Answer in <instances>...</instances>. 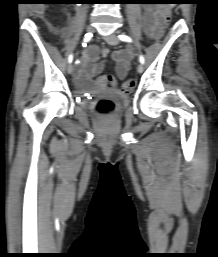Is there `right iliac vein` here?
<instances>
[{
	"mask_svg": "<svg viewBox=\"0 0 218 257\" xmlns=\"http://www.w3.org/2000/svg\"><path fill=\"white\" fill-rule=\"evenodd\" d=\"M86 30H87V32L91 33L93 31L92 25H88ZM67 70H68L69 74H72L73 70H74V66L70 63Z\"/></svg>",
	"mask_w": 218,
	"mask_h": 257,
	"instance_id": "1",
	"label": "right iliac vein"
}]
</instances>
